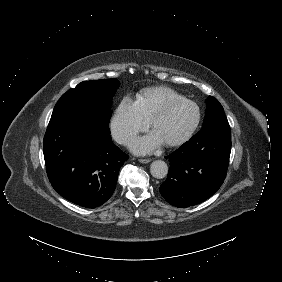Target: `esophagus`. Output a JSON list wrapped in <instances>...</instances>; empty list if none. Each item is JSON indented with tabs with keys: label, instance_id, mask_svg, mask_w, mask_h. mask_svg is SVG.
<instances>
[{
	"label": "esophagus",
	"instance_id": "esophagus-1",
	"mask_svg": "<svg viewBox=\"0 0 282 282\" xmlns=\"http://www.w3.org/2000/svg\"><path fill=\"white\" fill-rule=\"evenodd\" d=\"M138 161L140 163H149V162H151V159H138Z\"/></svg>",
	"mask_w": 282,
	"mask_h": 282
}]
</instances>
